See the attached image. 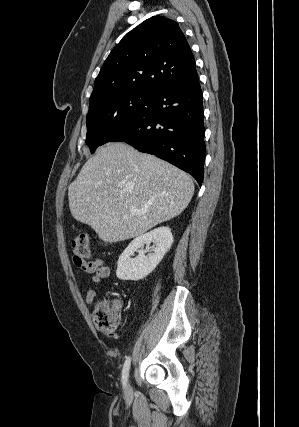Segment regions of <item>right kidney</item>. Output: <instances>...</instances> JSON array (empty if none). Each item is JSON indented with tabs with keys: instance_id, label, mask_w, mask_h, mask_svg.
<instances>
[{
	"instance_id": "ca27d5eb",
	"label": "right kidney",
	"mask_w": 299,
	"mask_h": 427,
	"mask_svg": "<svg viewBox=\"0 0 299 427\" xmlns=\"http://www.w3.org/2000/svg\"><path fill=\"white\" fill-rule=\"evenodd\" d=\"M152 242L154 245L149 247ZM172 243L173 236L169 227H159L136 237L120 255L116 276L121 280L143 279L156 268ZM135 252L138 255L132 258ZM147 252L150 253L145 255Z\"/></svg>"
}]
</instances>
